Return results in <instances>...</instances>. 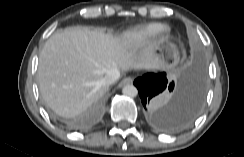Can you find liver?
Masks as SVG:
<instances>
[{
    "instance_id": "1",
    "label": "liver",
    "mask_w": 244,
    "mask_h": 157,
    "mask_svg": "<svg viewBox=\"0 0 244 157\" xmlns=\"http://www.w3.org/2000/svg\"><path fill=\"white\" fill-rule=\"evenodd\" d=\"M156 68L149 52L136 59L131 42L101 29L68 27L53 34L40 55L37 78L46 104L59 116L75 117L108 90L104 77L112 70Z\"/></svg>"
}]
</instances>
